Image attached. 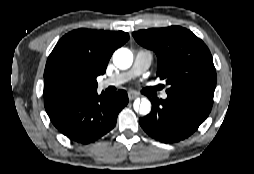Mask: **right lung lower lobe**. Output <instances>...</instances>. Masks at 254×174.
Listing matches in <instances>:
<instances>
[{"instance_id":"98d812e1","label":"right lung lower lobe","mask_w":254,"mask_h":174,"mask_svg":"<svg viewBox=\"0 0 254 174\" xmlns=\"http://www.w3.org/2000/svg\"><path fill=\"white\" fill-rule=\"evenodd\" d=\"M127 103L128 95L124 90L108 96L99 95L96 88L47 99L44 105L51 122L62 134L72 141L88 144L113 129L119 112Z\"/></svg>"}]
</instances>
